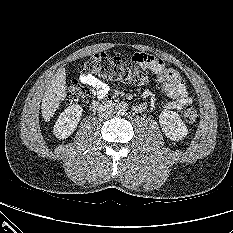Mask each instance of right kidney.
I'll list each match as a JSON object with an SVG mask.
<instances>
[{"label": "right kidney", "instance_id": "ca27d5eb", "mask_svg": "<svg viewBox=\"0 0 233 233\" xmlns=\"http://www.w3.org/2000/svg\"><path fill=\"white\" fill-rule=\"evenodd\" d=\"M82 107L73 104L67 107L57 119L53 133L58 139L69 137L77 128L82 114Z\"/></svg>", "mask_w": 233, "mask_h": 233}]
</instances>
